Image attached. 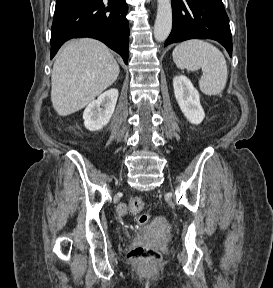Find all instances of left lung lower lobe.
I'll return each mask as SVG.
<instances>
[{
    "mask_svg": "<svg viewBox=\"0 0 273 288\" xmlns=\"http://www.w3.org/2000/svg\"><path fill=\"white\" fill-rule=\"evenodd\" d=\"M173 27L165 45L188 39H213L232 56L229 19L222 0H172Z\"/></svg>",
    "mask_w": 273,
    "mask_h": 288,
    "instance_id": "left-lung-lower-lobe-1",
    "label": "left lung lower lobe"
}]
</instances>
